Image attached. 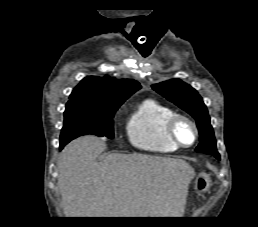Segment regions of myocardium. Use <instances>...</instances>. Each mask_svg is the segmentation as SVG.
Listing matches in <instances>:
<instances>
[{"label": "myocardium", "instance_id": "1", "mask_svg": "<svg viewBox=\"0 0 258 227\" xmlns=\"http://www.w3.org/2000/svg\"><path fill=\"white\" fill-rule=\"evenodd\" d=\"M179 122H187L192 127L193 132H194V138L190 144H184L179 140V138L177 136V132H176ZM165 130H166V134L170 138V140L172 142H174L176 146L181 147V148H188V147L193 146L197 142L198 137H199V130H198L196 123L190 117L183 115V114H179V113H174L167 120L166 125H165Z\"/></svg>", "mask_w": 258, "mask_h": 227}]
</instances>
